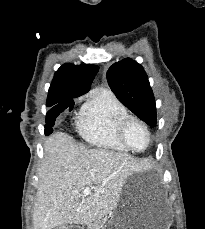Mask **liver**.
<instances>
[{
  "mask_svg": "<svg viewBox=\"0 0 205 229\" xmlns=\"http://www.w3.org/2000/svg\"><path fill=\"white\" fill-rule=\"evenodd\" d=\"M141 168L128 154L89 149L65 133L52 134L38 170L34 229L92 224L112 212L127 178ZM85 186L96 189L81 197Z\"/></svg>",
  "mask_w": 205,
  "mask_h": 229,
  "instance_id": "6515ba94",
  "label": "liver"
}]
</instances>
